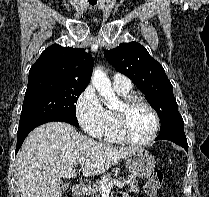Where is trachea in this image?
I'll list each match as a JSON object with an SVG mask.
<instances>
[{
    "mask_svg": "<svg viewBox=\"0 0 209 197\" xmlns=\"http://www.w3.org/2000/svg\"><path fill=\"white\" fill-rule=\"evenodd\" d=\"M90 5L94 6L97 3V0H89Z\"/></svg>",
    "mask_w": 209,
    "mask_h": 197,
    "instance_id": "1",
    "label": "trachea"
}]
</instances>
